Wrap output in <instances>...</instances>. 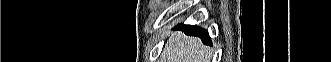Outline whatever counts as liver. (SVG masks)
<instances>
[{
    "label": "liver",
    "instance_id": "obj_1",
    "mask_svg": "<svg viewBox=\"0 0 331 62\" xmlns=\"http://www.w3.org/2000/svg\"><path fill=\"white\" fill-rule=\"evenodd\" d=\"M163 62H208L210 57L205 53L201 41L195 37L176 34L165 47Z\"/></svg>",
    "mask_w": 331,
    "mask_h": 62
}]
</instances>
